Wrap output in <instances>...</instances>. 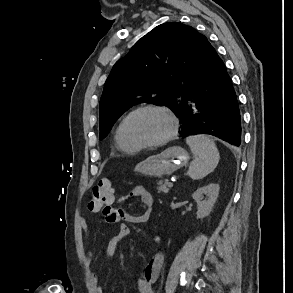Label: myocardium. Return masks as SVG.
<instances>
[{
  "label": "myocardium",
  "instance_id": "f54148a6",
  "mask_svg": "<svg viewBox=\"0 0 293 293\" xmlns=\"http://www.w3.org/2000/svg\"><path fill=\"white\" fill-rule=\"evenodd\" d=\"M142 111H156L164 115L170 123V128L167 134L154 142L137 143L132 141L129 137V132H128L129 123L133 116H135L136 114ZM177 131H178V121L176 117L173 115V113L166 107L155 105V104H145L135 108L134 110H132L130 113L127 114V116L124 118L122 123V137L124 142L129 147L137 149V150L162 146L168 143L169 141H171L174 138V136L177 134Z\"/></svg>",
  "mask_w": 293,
  "mask_h": 293
}]
</instances>
